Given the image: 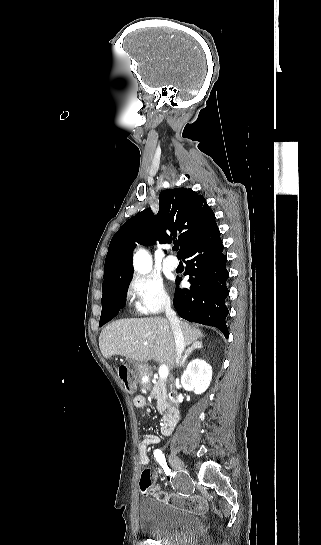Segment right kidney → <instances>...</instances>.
Returning a JSON list of instances; mask_svg holds the SVG:
<instances>
[{
  "mask_svg": "<svg viewBox=\"0 0 321 545\" xmlns=\"http://www.w3.org/2000/svg\"><path fill=\"white\" fill-rule=\"evenodd\" d=\"M211 379L212 367L202 359H194L184 371L181 385L185 391H193L195 395H201L210 387Z\"/></svg>",
  "mask_w": 321,
  "mask_h": 545,
  "instance_id": "obj_1",
  "label": "right kidney"
}]
</instances>
